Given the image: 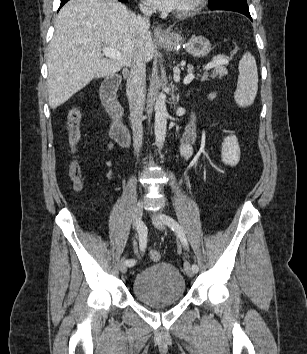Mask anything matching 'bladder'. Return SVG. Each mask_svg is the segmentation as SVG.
I'll return each instance as SVG.
<instances>
[{"label":"bladder","instance_id":"bladder-1","mask_svg":"<svg viewBox=\"0 0 307 354\" xmlns=\"http://www.w3.org/2000/svg\"><path fill=\"white\" fill-rule=\"evenodd\" d=\"M134 296L151 307L178 303L185 295L186 282L177 267L159 262L140 270L132 283Z\"/></svg>","mask_w":307,"mask_h":354}]
</instances>
